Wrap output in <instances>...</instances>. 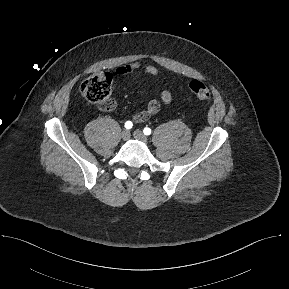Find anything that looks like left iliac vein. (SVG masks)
Returning a JSON list of instances; mask_svg holds the SVG:
<instances>
[{
  "instance_id": "obj_1",
  "label": "left iliac vein",
  "mask_w": 289,
  "mask_h": 289,
  "mask_svg": "<svg viewBox=\"0 0 289 289\" xmlns=\"http://www.w3.org/2000/svg\"><path fill=\"white\" fill-rule=\"evenodd\" d=\"M133 136L135 139L143 142V143H147V137L143 134L142 131L140 130H135L133 133Z\"/></svg>"
}]
</instances>
